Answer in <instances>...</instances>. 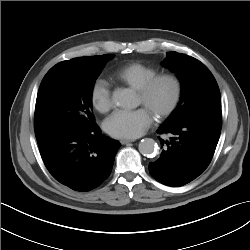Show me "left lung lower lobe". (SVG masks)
<instances>
[{
    "label": "left lung lower lobe",
    "mask_w": 250,
    "mask_h": 250,
    "mask_svg": "<svg viewBox=\"0 0 250 250\" xmlns=\"http://www.w3.org/2000/svg\"><path fill=\"white\" fill-rule=\"evenodd\" d=\"M222 126L221 111L190 117L174 126L161 125L157 133L171 138L161 139L160 158L149 163L150 174L162 184L178 187L194 180L208 167L215 152Z\"/></svg>",
    "instance_id": "0a47b994"
}]
</instances>
